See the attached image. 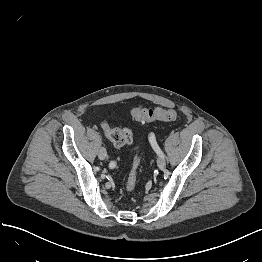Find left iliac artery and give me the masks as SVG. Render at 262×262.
Here are the masks:
<instances>
[{"label":"left iliac artery","instance_id":"1","mask_svg":"<svg viewBox=\"0 0 262 262\" xmlns=\"http://www.w3.org/2000/svg\"><path fill=\"white\" fill-rule=\"evenodd\" d=\"M154 150L158 155H163V152L161 151L160 147L158 145L154 146Z\"/></svg>","mask_w":262,"mask_h":262}]
</instances>
